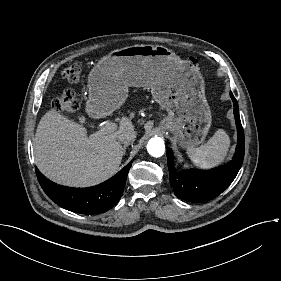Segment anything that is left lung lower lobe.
Returning <instances> with one entry per match:
<instances>
[{
  "mask_svg": "<svg viewBox=\"0 0 281 281\" xmlns=\"http://www.w3.org/2000/svg\"><path fill=\"white\" fill-rule=\"evenodd\" d=\"M238 142L232 161L221 168L200 171H177L173 164V154L167 150L170 185L177 197L189 202H206L221 194L234 180L244 159V131L241 125L238 103L232 92Z\"/></svg>",
  "mask_w": 281,
  "mask_h": 281,
  "instance_id": "0a47b994",
  "label": "left lung lower lobe"
}]
</instances>
